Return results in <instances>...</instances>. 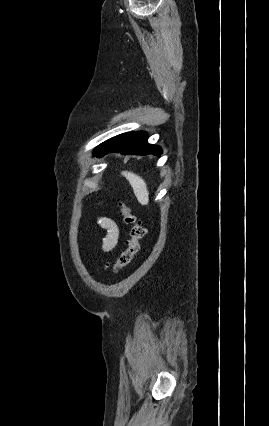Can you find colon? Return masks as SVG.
Masks as SVG:
<instances>
[{
	"instance_id": "1",
	"label": "colon",
	"mask_w": 269,
	"mask_h": 426,
	"mask_svg": "<svg viewBox=\"0 0 269 426\" xmlns=\"http://www.w3.org/2000/svg\"><path fill=\"white\" fill-rule=\"evenodd\" d=\"M120 215L124 224L129 227V239L126 249L121 252L115 263L107 266V270L113 273L130 264L134 256L139 252L140 241L145 235L144 227L140 224L132 208L128 204L124 202L120 203Z\"/></svg>"
}]
</instances>
